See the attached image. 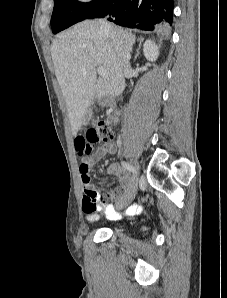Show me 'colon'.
<instances>
[{"label": "colon", "instance_id": "5ec220e1", "mask_svg": "<svg viewBox=\"0 0 227 298\" xmlns=\"http://www.w3.org/2000/svg\"><path fill=\"white\" fill-rule=\"evenodd\" d=\"M86 135L87 138L85 139V142H92V146L95 143L112 142L114 138L111 127L103 121H97L93 125H91L87 129Z\"/></svg>", "mask_w": 227, "mask_h": 298}]
</instances>
